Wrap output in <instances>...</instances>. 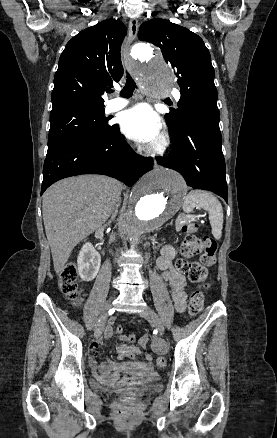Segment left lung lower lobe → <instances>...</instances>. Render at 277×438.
I'll use <instances>...</instances> for the list:
<instances>
[{"label": "left lung lower lobe", "instance_id": "1", "mask_svg": "<svg viewBox=\"0 0 277 438\" xmlns=\"http://www.w3.org/2000/svg\"><path fill=\"white\" fill-rule=\"evenodd\" d=\"M219 119L215 102H205L187 111L181 129L173 136L172 150L168 156L158 157L157 162L181 173L190 187L212 191L227 202Z\"/></svg>", "mask_w": 277, "mask_h": 438}]
</instances>
